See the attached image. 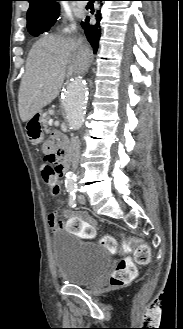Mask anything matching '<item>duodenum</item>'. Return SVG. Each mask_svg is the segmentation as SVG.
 I'll list each match as a JSON object with an SVG mask.
<instances>
[{"label": "duodenum", "instance_id": "obj_1", "mask_svg": "<svg viewBox=\"0 0 183 329\" xmlns=\"http://www.w3.org/2000/svg\"><path fill=\"white\" fill-rule=\"evenodd\" d=\"M60 147L58 149V155L60 158V164L63 169H66L70 162V147L64 142L63 139H59Z\"/></svg>", "mask_w": 183, "mask_h": 329}]
</instances>
